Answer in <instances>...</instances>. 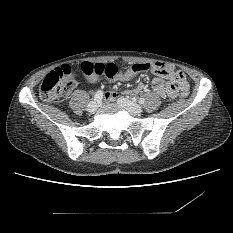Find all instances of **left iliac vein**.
<instances>
[{
	"label": "left iliac vein",
	"mask_w": 233,
	"mask_h": 233,
	"mask_svg": "<svg viewBox=\"0 0 233 233\" xmlns=\"http://www.w3.org/2000/svg\"><path fill=\"white\" fill-rule=\"evenodd\" d=\"M118 104L122 106L128 113L132 115H137L142 112V107L127 98L119 97Z\"/></svg>",
	"instance_id": "left-iliac-vein-1"
}]
</instances>
